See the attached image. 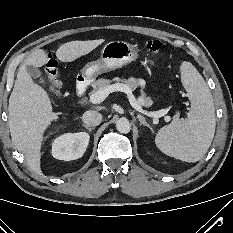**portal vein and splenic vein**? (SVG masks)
Here are the masks:
<instances>
[{
	"label": "portal vein and splenic vein",
	"mask_w": 233,
	"mask_h": 233,
	"mask_svg": "<svg viewBox=\"0 0 233 233\" xmlns=\"http://www.w3.org/2000/svg\"><path fill=\"white\" fill-rule=\"evenodd\" d=\"M115 91L125 92L127 94V97L130 101L131 106L135 110H137L138 112H140L144 115L152 117L154 119L165 116L170 109L168 107V108H164V109H161L159 111H153V112L143 110L140 103H139L140 99L137 100L134 97V95L132 94V91L129 89V87L124 85V84H113V85H110L104 89H100L90 96L89 101L93 104H99V103L103 102L110 93L115 92ZM165 121L169 122L170 116H165Z\"/></svg>",
	"instance_id": "obj_1"
}]
</instances>
